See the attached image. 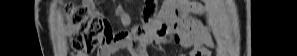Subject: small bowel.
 Segmentation results:
<instances>
[{
  "instance_id": "obj_1",
  "label": "small bowel",
  "mask_w": 297,
  "mask_h": 56,
  "mask_svg": "<svg viewBox=\"0 0 297 56\" xmlns=\"http://www.w3.org/2000/svg\"><path fill=\"white\" fill-rule=\"evenodd\" d=\"M189 3L185 0H165L155 16L156 4L147 1L144 8V24L130 31L112 36L100 51L101 56H112L127 50L132 56H148V47L161 50L163 43H178L190 48L189 56H210L215 42L208 28L188 18ZM200 11L199 8H195ZM117 15L124 25L130 24V16L122 6ZM85 56V54H79Z\"/></svg>"
}]
</instances>
